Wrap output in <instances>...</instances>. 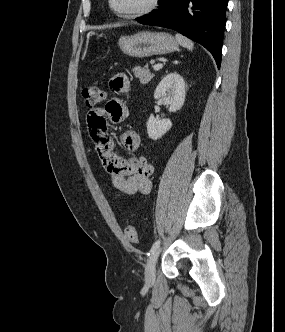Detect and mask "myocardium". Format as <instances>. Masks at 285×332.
Returning <instances> with one entry per match:
<instances>
[{
  "instance_id": "1",
  "label": "myocardium",
  "mask_w": 285,
  "mask_h": 332,
  "mask_svg": "<svg viewBox=\"0 0 285 332\" xmlns=\"http://www.w3.org/2000/svg\"><path fill=\"white\" fill-rule=\"evenodd\" d=\"M107 2L111 12L118 18L136 19L154 12L158 8L160 0H150L146 7L131 12H120L114 7L113 0H107Z\"/></svg>"
}]
</instances>
